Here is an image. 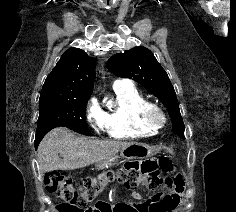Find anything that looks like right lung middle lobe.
Returning <instances> with one entry per match:
<instances>
[{"label": "right lung middle lobe", "instance_id": "obj_1", "mask_svg": "<svg viewBox=\"0 0 236 212\" xmlns=\"http://www.w3.org/2000/svg\"><path fill=\"white\" fill-rule=\"evenodd\" d=\"M89 98L90 96L39 99L40 115L35 147H38L46 133L58 126H65L75 132L92 136L85 121L86 105Z\"/></svg>", "mask_w": 236, "mask_h": 212}]
</instances>
